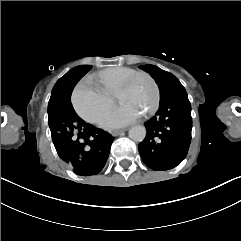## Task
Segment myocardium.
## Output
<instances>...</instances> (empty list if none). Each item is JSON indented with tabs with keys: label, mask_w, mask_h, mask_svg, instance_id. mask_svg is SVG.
Masks as SVG:
<instances>
[{
	"label": "myocardium",
	"mask_w": 241,
	"mask_h": 241,
	"mask_svg": "<svg viewBox=\"0 0 241 241\" xmlns=\"http://www.w3.org/2000/svg\"><path fill=\"white\" fill-rule=\"evenodd\" d=\"M139 75H146L147 76V74L145 73V72H143V71H134V72H132V73H128V74H125L123 77H122V79H121V84H120V89L118 90V97L120 98V99H123L124 98V93H125V88H127L131 83H132V81H134V80H136L137 78H138V76ZM150 79V78H149ZM151 81H153L152 79H150ZM154 84V83H153ZM156 87V86H155ZM158 92V91H157ZM158 96H159V92H158ZM157 98H159V97H157ZM157 101H158V99H157ZM157 101H156V103H157ZM156 105V104H155ZM154 108V107H153ZM152 108V109H153ZM151 109V110H152ZM150 112H152V111H150ZM149 113V112H148Z\"/></svg>",
	"instance_id": "obj_1"
}]
</instances>
